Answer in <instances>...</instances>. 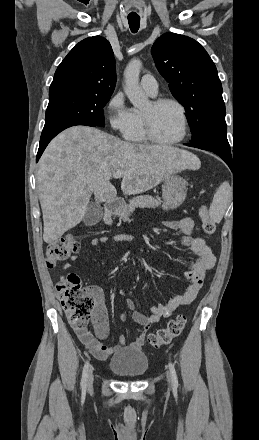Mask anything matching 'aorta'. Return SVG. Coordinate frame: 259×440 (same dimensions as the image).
I'll use <instances>...</instances> for the list:
<instances>
[{"label": "aorta", "mask_w": 259, "mask_h": 440, "mask_svg": "<svg viewBox=\"0 0 259 440\" xmlns=\"http://www.w3.org/2000/svg\"><path fill=\"white\" fill-rule=\"evenodd\" d=\"M142 62L139 59H132L125 68L124 91L135 108L142 109L148 106L149 98L139 86V76Z\"/></svg>", "instance_id": "762f6f07"}]
</instances>
